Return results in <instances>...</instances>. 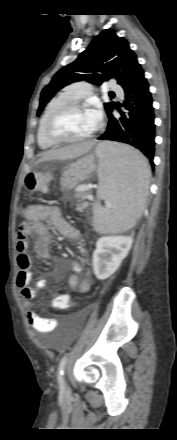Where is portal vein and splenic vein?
Segmentation results:
<instances>
[{
  "label": "portal vein and splenic vein",
  "instance_id": "18ae733b",
  "mask_svg": "<svg viewBox=\"0 0 177 440\" xmlns=\"http://www.w3.org/2000/svg\"><path fill=\"white\" fill-rule=\"evenodd\" d=\"M83 189L87 190V189H89V186H85ZM88 199L92 200V196H88ZM106 207L107 208L111 207V204H106Z\"/></svg>",
  "mask_w": 177,
  "mask_h": 440
}]
</instances>
